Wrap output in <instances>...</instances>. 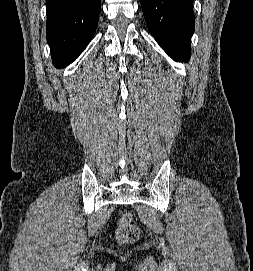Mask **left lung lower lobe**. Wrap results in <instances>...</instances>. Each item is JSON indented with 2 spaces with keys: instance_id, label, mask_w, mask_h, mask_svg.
Returning a JSON list of instances; mask_svg holds the SVG:
<instances>
[{
  "instance_id": "obj_1",
  "label": "left lung lower lobe",
  "mask_w": 253,
  "mask_h": 271,
  "mask_svg": "<svg viewBox=\"0 0 253 271\" xmlns=\"http://www.w3.org/2000/svg\"><path fill=\"white\" fill-rule=\"evenodd\" d=\"M149 31L173 59L187 61L195 28L193 0H141Z\"/></svg>"
}]
</instances>
